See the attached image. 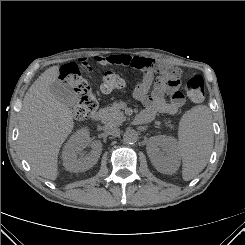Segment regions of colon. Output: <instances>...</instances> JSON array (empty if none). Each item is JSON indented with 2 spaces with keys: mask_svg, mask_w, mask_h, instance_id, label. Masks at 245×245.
<instances>
[{
  "mask_svg": "<svg viewBox=\"0 0 245 245\" xmlns=\"http://www.w3.org/2000/svg\"><path fill=\"white\" fill-rule=\"evenodd\" d=\"M155 70L171 80L178 81L181 76L180 69L173 65L156 62ZM60 78L75 91L76 100L72 107V113L76 119H84L97 109V100L91 92L88 81L82 76L79 65L76 63L64 65L61 69ZM123 86L124 80L118 73L114 71L104 73L101 83L102 91L112 92ZM184 89L192 102L199 103L204 99V81L201 76L189 78Z\"/></svg>",
  "mask_w": 245,
  "mask_h": 245,
  "instance_id": "1",
  "label": "colon"
}]
</instances>
